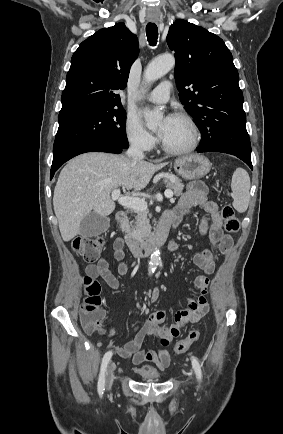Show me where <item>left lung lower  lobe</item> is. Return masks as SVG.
<instances>
[{
  "mask_svg": "<svg viewBox=\"0 0 283 434\" xmlns=\"http://www.w3.org/2000/svg\"><path fill=\"white\" fill-rule=\"evenodd\" d=\"M198 152H210V151L207 150V149L200 148L198 150ZM232 155H234V156L238 157L239 159L243 160L251 169H253V166H252V163H251V156H243V155H239V154H232Z\"/></svg>",
  "mask_w": 283,
  "mask_h": 434,
  "instance_id": "0a47b994",
  "label": "left lung lower lobe"
}]
</instances>
